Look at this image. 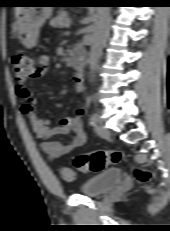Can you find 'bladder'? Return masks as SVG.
I'll return each instance as SVG.
<instances>
[{
	"label": "bladder",
	"mask_w": 170,
	"mask_h": 231,
	"mask_svg": "<svg viewBox=\"0 0 170 231\" xmlns=\"http://www.w3.org/2000/svg\"><path fill=\"white\" fill-rule=\"evenodd\" d=\"M123 177L122 169L112 168L87 180L80 187V191L85 196L98 197L110 191Z\"/></svg>",
	"instance_id": "bladder-1"
}]
</instances>
